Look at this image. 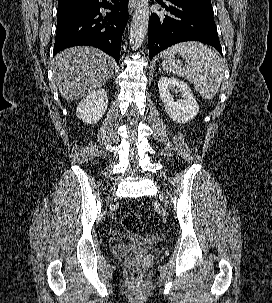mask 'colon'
<instances>
[{"mask_svg": "<svg viewBox=\"0 0 272 303\" xmlns=\"http://www.w3.org/2000/svg\"><path fill=\"white\" fill-rule=\"evenodd\" d=\"M122 227L131 234H139L143 230V221L141 217L133 211L126 212L121 220ZM134 274H139V268L134 269Z\"/></svg>", "mask_w": 272, "mask_h": 303, "instance_id": "obj_1", "label": "colon"}]
</instances>
